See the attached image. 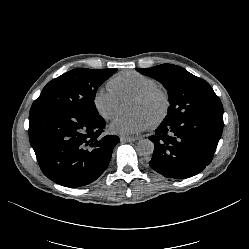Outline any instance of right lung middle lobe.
Returning <instances> with one entry per match:
<instances>
[{
    "label": "right lung middle lobe",
    "mask_w": 249,
    "mask_h": 249,
    "mask_svg": "<svg viewBox=\"0 0 249 249\" xmlns=\"http://www.w3.org/2000/svg\"><path fill=\"white\" fill-rule=\"evenodd\" d=\"M117 69H73L50 81L34 101L30 113L65 109L88 115H99L95 106L98 87Z\"/></svg>",
    "instance_id": "dd1d6c3e"
}]
</instances>
